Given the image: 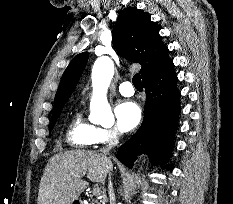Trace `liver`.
I'll return each instance as SVG.
<instances>
[{
	"label": "liver",
	"mask_w": 233,
	"mask_h": 204,
	"mask_svg": "<svg viewBox=\"0 0 233 204\" xmlns=\"http://www.w3.org/2000/svg\"><path fill=\"white\" fill-rule=\"evenodd\" d=\"M112 161L95 151L74 150L51 157L39 185L38 204H72L88 186L82 180L103 183L112 171Z\"/></svg>",
	"instance_id": "obj_1"
}]
</instances>
